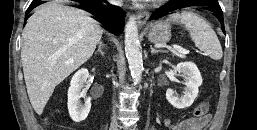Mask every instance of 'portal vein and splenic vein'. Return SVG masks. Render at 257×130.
Instances as JSON below:
<instances>
[{"instance_id": "obj_1", "label": "portal vein and splenic vein", "mask_w": 257, "mask_h": 130, "mask_svg": "<svg viewBox=\"0 0 257 130\" xmlns=\"http://www.w3.org/2000/svg\"><path fill=\"white\" fill-rule=\"evenodd\" d=\"M173 48H174L176 51H178L179 53H181V54H188V53H189L188 50H185V49L180 48V47H178V46H173Z\"/></svg>"}]
</instances>
